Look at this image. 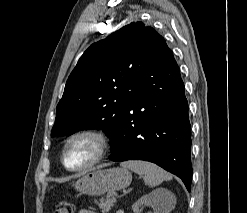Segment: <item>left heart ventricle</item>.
<instances>
[{
  "label": "left heart ventricle",
  "mask_w": 247,
  "mask_h": 213,
  "mask_svg": "<svg viewBox=\"0 0 247 213\" xmlns=\"http://www.w3.org/2000/svg\"><path fill=\"white\" fill-rule=\"evenodd\" d=\"M96 142L89 137H80L72 141L66 151L65 160L69 167L76 168L87 164L95 156Z\"/></svg>",
  "instance_id": "1"
}]
</instances>
